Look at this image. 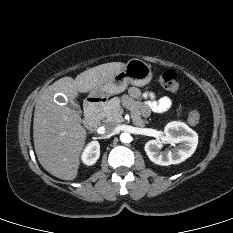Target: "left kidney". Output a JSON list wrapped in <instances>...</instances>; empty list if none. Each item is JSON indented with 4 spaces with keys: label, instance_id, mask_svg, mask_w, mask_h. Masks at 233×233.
<instances>
[{
    "label": "left kidney",
    "instance_id": "1",
    "mask_svg": "<svg viewBox=\"0 0 233 233\" xmlns=\"http://www.w3.org/2000/svg\"><path fill=\"white\" fill-rule=\"evenodd\" d=\"M164 134L163 142L150 140L145 144V152L153 163L161 166L178 164L195 152L198 145V135L185 123L177 121L168 123L164 129ZM163 143H180V145L172 151L162 152Z\"/></svg>",
    "mask_w": 233,
    "mask_h": 233
}]
</instances>
